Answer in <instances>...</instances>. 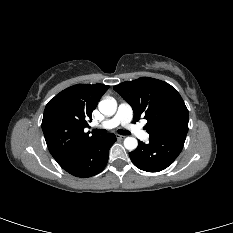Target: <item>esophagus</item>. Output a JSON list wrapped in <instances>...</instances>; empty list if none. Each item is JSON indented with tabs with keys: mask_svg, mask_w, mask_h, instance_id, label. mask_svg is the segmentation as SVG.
<instances>
[{
	"mask_svg": "<svg viewBox=\"0 0 233 233\" xmlns=\"http://www.w3.org/2000/svg\"><path fill=\"white\" fill-rule=\"evenodd\" d=\"M124 138H125V136H123V135H117L118 140H123Z\"/></svg>",
	"mask_w": 233,
	"mask_h": 233,
	"instance_id": "esophagus-1",
	"label": "esophagus"
}]
</instances>
